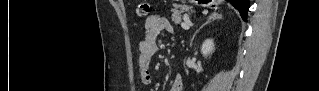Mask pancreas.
Masks as SVG:
<instances>
[{"instance_id":"obj_1","label":"pancreas","mask_w":319,"mask_h":91,"mask_svg":"<svg viewBox=\"0 0 319 91\" xmlns=\"http://www.w3.org/2000/svg\"><path fill=\"white\" fill-rule=\"evenodd\" d=\"M188 11H189V8L187 6L177 5L176 8L172 10L171 20L175 24H178L179 22H181V17H182L181 14Z\"/></svg>"}]
</instances>
